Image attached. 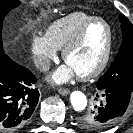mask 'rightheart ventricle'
Listing matches in <instances>:
<instances>
[{
  "label": "right heart ventricle",
  "instance_id": "obj_1",
  "mask_svg": "<svg viewBox=\"0 0 133 133\" xmlns=\"http://www.w3.org/2000/svg\"><path fill=\"white\" fill-rule=\"evenodd\" d=\"M93 17L80 11L69 13L52 22L46 30L45 37L56 50H62L81 26Z\"/></svg>",
  "mask_w": 133,
  "mask_h": 133
}]
</instances>
